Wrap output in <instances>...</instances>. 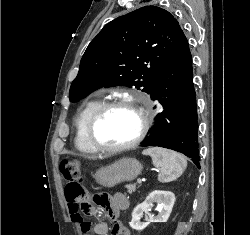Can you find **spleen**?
<instances>
[{
    "label": "spleen",
    "mask_w": 250,
    "mask_h": 235,
    "mask_svg": "<svg viewBox=\"0 0 250 235\" xmlns=\"http://www.w3.org/2000/svg\"><path fill=\"white\" fill-rule=\"evenodd\" d=\"M143 155L152 158L154 166L160 169L158 180L162 183L176 180L187 167L186 159L179 153L161 147H152L144 150Z\"/></svg>",
    "instance_id": "spleen-1"
}]
</instances>
